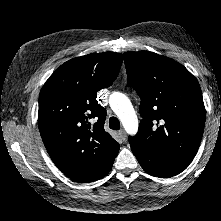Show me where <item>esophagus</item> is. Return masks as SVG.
Instances as JSON below:
<instances>
[{
    "mask_svg": "<svg viewBox=\"0 0 221 221\" xmlns=\"http://www.w3.org/2000/svg\"><path fill=\"white\" fill-rule=\"evenodd\" d=\"M118 134H119V136H120V138H121L122 140H125V139L127 138V134H126V132H125L124 129L120 130V131L118 132Z\"/></svg>",
    "mask_w": 221,
    "mask_h": 221,
    "instance_id": "obj_1",
    "label": "esophagus"
}]
</instances>
